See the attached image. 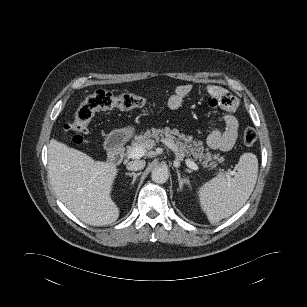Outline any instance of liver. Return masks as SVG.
<instances>
[{
    "instance_id": "6515ba94",
    "label": "liver",
    "mask_w": 307,
    "mask_h": 307,
    "mask_svg": "<svg viewBox=\"0 0 307 307\" xmlns=\"http://www.w3.org/2000/svg\"><path fill=\"white\" fill-rule=\"evenodd\" d=\"M118 169L51 139L48 174L59 200L82 222L103 226L116 221L119 208L111 198Z\"/></svg>"
}]
</instances>
